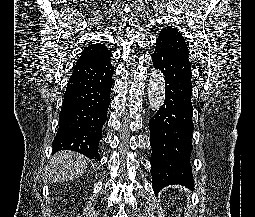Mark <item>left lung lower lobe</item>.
<instances>
[{
    "label": "left lung lower lobe",
    "mask_w": 255,
    "mask_h": 217,
    "mask_svg": "<svg viewBox=\"0 0 255 217\" xmlns=\"http://www.w3.org/2000/svg\"><path fill=\"white\" fill-rule=\"evenodd\" d=\"M152 62L165 76L164 105L149 121L152 186L157 194L168 185H194L190 164L192 72L188 59L158 46Z\"/></svg>",
    "instance_id": "0a47b994"
}]
</instances>
